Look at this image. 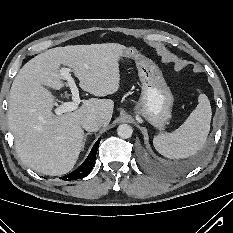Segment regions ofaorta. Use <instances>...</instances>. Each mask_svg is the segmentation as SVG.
Returning a JSON list of instances; mask_svg holds the SVG:
<instances>
[{
  "label": "aorta",
  "mask_w": 233,
  "mask_h": 233,
  "mask_svg": "<svg viewBox=\"0 0 233 233\" xmlns=\"http://www.w3.org/2000/svg\"><path fill=\"white\" fill-rule=\"evenodd\" d=\"M133 129L128 124H121L117 128V134L120 138L127 139L132 136Z\"/></svg>",
  "instance_id": "obj_1"
}]
</instances>
